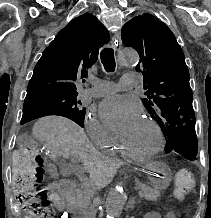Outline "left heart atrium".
Here are the masks:
<instances>
[{"label": "left heart atrium", "mask_w": 211, "mask_h": 218, "mask_svg": "<svg viewBox=\"0 0 211 218\" xmlns=\"http://www.w3.org/2000/svg\"><path fill=\"white\" fill-rule=\"evenodd\" d=\"M99 114L104 124L122 139L143 120V110L135 96H110L101 103Z\"/></svg>", "instance_id": "39dd6f15"}]
</instances>
